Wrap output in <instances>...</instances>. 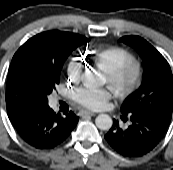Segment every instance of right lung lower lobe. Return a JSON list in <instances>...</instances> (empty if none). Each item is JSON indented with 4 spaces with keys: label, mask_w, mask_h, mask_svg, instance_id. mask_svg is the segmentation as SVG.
I'll return each instance as SVG.
<instances>
[{
    "label": "right lung lower lobe",
    "mask_w": 173,
    "mask_h": 170,
    "mask_svg": "<svg viewBox=\"0 0 173 170\" xmlns=\"http://www.w3.org/2000/svg\"><path fill=\"white\" fill-rule=\"evenodd\" d=\"M18 135L37 149H52L63 143L77 126L79 117L69 112L64 117L49 106L30 102L7 110Z\"/></svg>",
    "instance_id": "right-lung-lower-lobe-1"
}]
</instances>
